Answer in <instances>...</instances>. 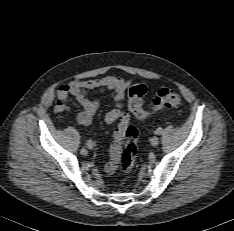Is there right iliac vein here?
<instances>
[{
	"label": "right iliac vein",
	"mask_w": 234,
	"mask_h": 231,
	"mask_svg": "<svg viewBox=\"0 0 234 231\" xmlns=\"http://www.w3.org/2000/svg\"><path fill=\"white\" fill-rule=\"evenodd\" d=\"M80 153H81L82 155H87L88 152H87L86 149L83 148V149L80 150Z\"/></svg>",
	"instance_id": "obj_1"
}]
</instances>
